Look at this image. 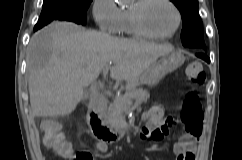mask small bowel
Here are the masks:
<instances>
[{
    "mask_svg": "<svg viewBox=\"0 0 242 160\" xmlns=\"http://www.w3.org/2000/svg\"><path fill=\"white\" fill-rule=\"evenodd\" d=\"M169 125L173 124V120L168 121ZM153 131H159L162 134L165 132V127L163 126L162 118L160 115H157V117L152 120L149 125L146 128H143L140 132V136L142 139L147 140L152 138L151 133ZM202 132V127L200 132L197 135H191L186 133L180 141L175 142L173 144V151L176 155V160H195V155L197 151V143L200 139ZM163 136V135H162ZM154 139V138H153ZM159 140V139H155ZM69 146L67 147V150L69 152V160H72V157L74 155V149L70 145L69 142H67Z\"/></svg>",
    "mask_w": 242,
    "mask_h": 160,
    "instance_id": "1",
    "label": "small bowel"
}]
</instances>
